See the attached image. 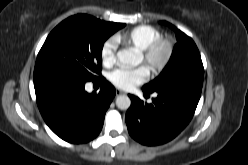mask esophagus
Wrapping results in <instances>:
<instances>
[{"instance_id": "obj_1", "label": "esophagus", "mask_w": 248, "mask_h": 165, "mask_svg": "<svg viewBox=\"0 0 248 165\" xmlns=\"http://www.w3.org/2000/svg\"><path fill=\"white\" fill-rule=\"evenodd\" d=\"M121 94H124V91H122L120 89H116V96H119Z\"/></svg>"}]
</instances>
